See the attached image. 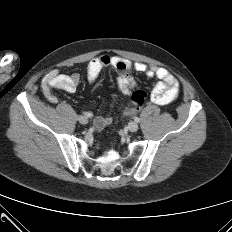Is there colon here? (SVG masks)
<instances>
[{"label":"colon","instance_id":"5ec220e1","mask_svg":"<svg viewBox=\"0 0 232 232\" xmlns=\"http://www.w3.org/2000/svg\"><path fill=\"white\" fill-rule=\"evenodd\" d=\"M146 98V93L142 90H136L131 94V100L127 103L121 112V117L117 118L118 124L124 123V118H127L132 113L133 109H138L142 106Z\"/></svg>","mask_w":232,"mask_h":232}]
</instances>
